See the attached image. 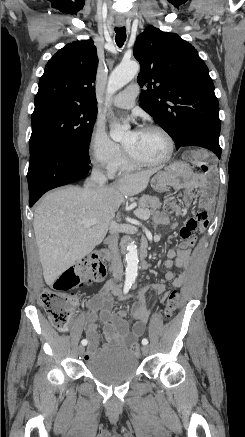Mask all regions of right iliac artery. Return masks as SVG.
<instances>
[{"instance_id":"right-iliac-artery-1","label":"right iliac artery","mask_w":245,"mask_h":437,"mask_svg":"<svg viewBox=\"0 0 245 437\" xmlns=\"http://www.w3.org/2000/svg\"><path fill=\"white\" fill-rule=\"evenodd\" d=\"M130 288H131V284L126 283L124 286V294H127ZM87 343H88V341L86 339H83L81 341V344L84 346L87 345Z\"/></svg>"}]
</instances>
